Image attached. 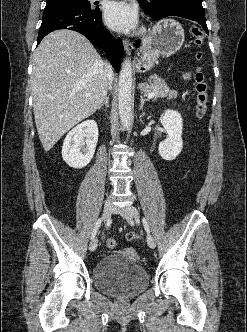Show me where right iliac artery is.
Listing matches in <instances>:
<instances>
[{
	"mask_svg": "<svg viewBox=\"0 0 247 332\" xmlns=\"http://www.w3.org/2000/svg\"><path fill=\"white\" fill-rule=\"evenodd\" d=\"M101 222H102V219L99 218V219L97 220V222L95 223L94 229H93V231H92L91 239H94V238H95V236H96V234H97V232H98V229H99V227H100V225H101Z\"/></svg>",
	"mask_w": 247,
	"mask_h": 332,
	"instance_id": "obj_1",
	"label": "right iliac artery"
}]
</instances>
